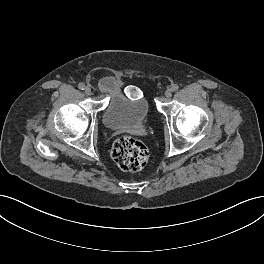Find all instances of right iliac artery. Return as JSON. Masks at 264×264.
<instances>
[{"label": "right iliac artery", "instance_id": "right-iliac-artery-1", "mask_svg": "<svg viewBox=\"0 0 264 264\" xmlns=\"http://www.w3.org/2000/svg\"><path fill=\"white\" fill-rule=\"evenodd\" d=\"M78 88L81 89V90H84L85 89V84L84 83H79L78 84Z\"/></svg>", "mask_w": 264, "mask_h": 264}]
</instances>
